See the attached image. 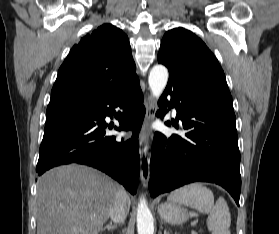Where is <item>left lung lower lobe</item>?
Here are the masks:
<instances>
[{"mask_svg": "<svg viewBox=\"0 0 279 234\" xmlns=\"http://www.w3.org/2000/svg\"><path fill=\"white\" fill-rule=\"evenodd\" d=\"M158 105L157 117H163L167 108L175 107L177 122L172 124L178 128L180 120L186 132L184 136L170 138L155 133L149 181L152 196L206 181L224 187L239 205L240 152L231 95L169 72ZM165 124L170 126L169 122Z\"/></svg>", "mask_w": 279, "mask_h": 234, "instance_id": "0a47b994", "label": "left lung lower lobe"}]
</instances>
